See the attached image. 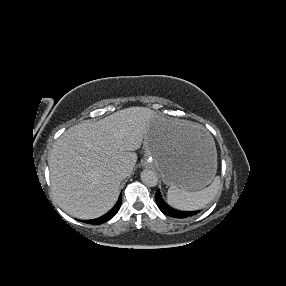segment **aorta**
Masks as SVG:
<instances>
[{
	"label": "aorta",
	"instance_id": "762f6f07",
	"mask_svg": "<svg viewBox=\"0 0 286 286\" xmlns=\"http://www.w3.org/2000/svg\"><path fill=\"white\" fill-rule=\"evenodd\" d=\"M141 180L146 186L149 187H154L158 184L157 174L150 169H145L141 172Z\"/></svg>",
	"mask_w": 286,
	"mask_h": 286
}]
</instances>
